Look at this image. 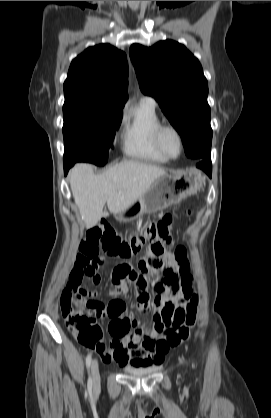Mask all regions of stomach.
<instances>
[{"label":"stomach","instance_id":"stomach-1","mask_svg":"<svg viewBox=\"0 0 271 418\" xmlns=\"http://www.w3.org/2000/svg\"><path fill=\"white\" fill-rule=\"evenodd\" d=\"M204 184L205 175L197 168H189L179 174L162 175L139 199L115 214V218L119 222H129L143 213L164 210L196 194Z\"/></svg>","mask_w":271,"mask_h":418}]
</instances>
